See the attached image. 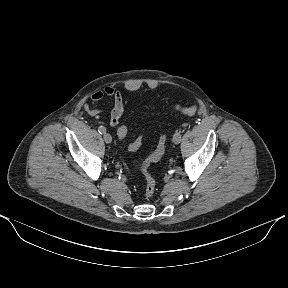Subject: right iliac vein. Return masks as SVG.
<instances>
[{
	"label": "right iliac vein",
	"mask_w": 288,
	"mask_h": 288,
	"mask_svg": "<svg viewBox=\"0 0 288 288\" xmlns=\"http://www.w3.org/2000/svg\"><path fill=\"white\" fill-rule=\"evenodd\" d=\"M103 138L107 144H110L112 142V136L109 133H105Z\"/></svg>",
	"instance_id": "1"
}]
</instances>
